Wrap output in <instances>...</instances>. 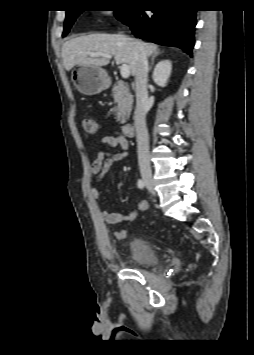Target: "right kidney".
I'll return each mask as SVG.
<instances>
[{
	"mask_svg": "<svg viewBox=\"0 0 254 355\" xmlns=\"http://www.w3.org/2000/svg\"><path fill=\"white\" fill-rule=\"evenodd\" d=\"M172 70V63L170 60L160 61L153 71V81L159 86H166Z\"/></svg>",
	"mask_w": 254,
	"mask_h": 355,
	"instance_id": "ca27d5eb",
	"label": "right kidney"
}]
</instances>
